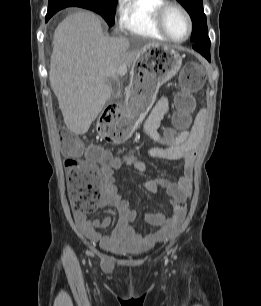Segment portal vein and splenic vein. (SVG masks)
<instances>
[{
    "label": "portal vein and splenic vein",
    "instance_id": "obj_1",
    "mask_svg": "<svg viewBox=\"0 0 261 306\" xmlns=\"http://www.w3.org/2000/svg\"><path fill=\"white\" fill-rule=\"evenodd\" d=\"M122 73H123V69H120V70H119V74H122Z\"/></svg>",
    "mask_w": 261,
    "mask_h": 306
}]
</instances>
